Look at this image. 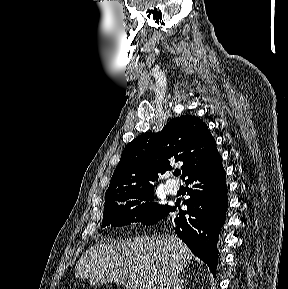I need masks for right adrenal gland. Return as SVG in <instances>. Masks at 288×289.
<instances>
[{
    "instance_id": "right-adrenal-gland-1",
    "label": "right adrenal gland",
    "mask_w": 288,
    "mask_h": 289,
    "mask_svg": "<svg viewBox=\"0 0 288 289\" xmlns=\"http://www.w3.org/2000/svg\"><path fill=\"white\" fill-rule=\"evenodd\" d=\"M183 280H182V278L180 279V284H179V289H183Z\"/></svg>"
}]
</instances>
